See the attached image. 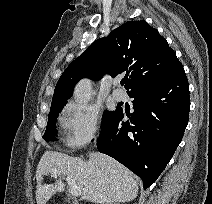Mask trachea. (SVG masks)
I'll use <instances>...</instances> for the list:
<instances>
[{
  "label": "trachea",
  "mask_w": 212,
  "mask_h": 204,
  "mask_svg": "<svg viewBox=\"0 0 212 204\" xmlns=\"http://www.w3.org/2000/svg\"><path fill=\"white\" fill-rule=\"evenodd\" d=\"M125 82H126V80H122L121 81V85H124Z\"/></svg>",
  "instance_id": "obj_1"
}]
</instances>
